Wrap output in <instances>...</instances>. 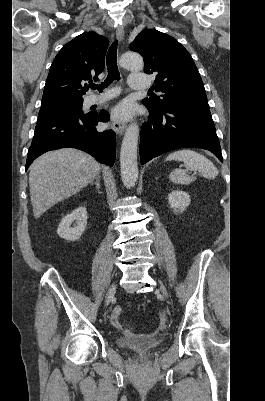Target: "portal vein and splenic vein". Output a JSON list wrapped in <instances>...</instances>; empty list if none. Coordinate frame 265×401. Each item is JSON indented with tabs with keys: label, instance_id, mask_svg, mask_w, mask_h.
I'll use <instances>...</instances> for the list:
<instances>
[{
	"label": "portal vein and splenic vein",
	"instance_id": "obj_1",
	"mask_svg": "<svg viewBox=\"0 0 265 401\" xmlns=\"http://www.w3.org/2000/svg\"><path fill=\"white\" fill-rule=\"evenodd\" d=\"M193 175L199 176V175H200V172H199V171H195V172H193Z\"/></svg>",
	"mask_w": 265,
	"mask_h": 401
}]
</instances>
